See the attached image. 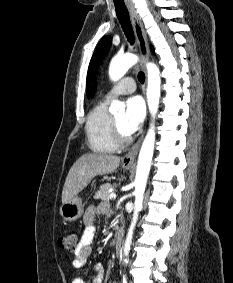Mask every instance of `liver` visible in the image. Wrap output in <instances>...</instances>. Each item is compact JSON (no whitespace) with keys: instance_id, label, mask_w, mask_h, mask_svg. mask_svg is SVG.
I'll return each mask as SVG.
<instances>
[{"instance_id":"obj_1","label":"liver","mask_w":233,"mask_h":283,"mask_svg":"<svg viewBox=\"0 0 233 283\" xmlns=\"http://www.w3.org/2000/svg\"><path fill=\"white\" fill-rule=\"evenodd\" d=\"M119 164L120 157L115 155L86 153L80 156L66 177L62 191V204L77 196L94 177L114 172Z\"/></svg>"}]
</instances>
